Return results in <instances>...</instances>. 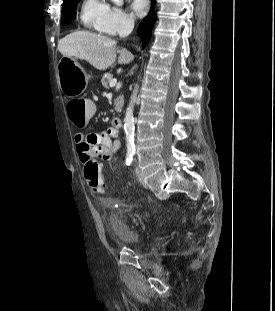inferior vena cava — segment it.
Masks as SVG:
<instances>
[{
	"mask_svg": "<svg viewBox=\"0 0 275 311\" xmlns=\"http://www.w3.org/2000/svg\"><path fill=\"white\" fill-rule=\"evenodd\" d=\"M134 28V22L130 20H124L118 29V34L120 37L128 36Z\"/></svg>",
	"mask_w": 275,
	"mask_h": 311,
	"instance_id": "602c4592",
	"label": "inferior vena cava"
}]
</instances>
